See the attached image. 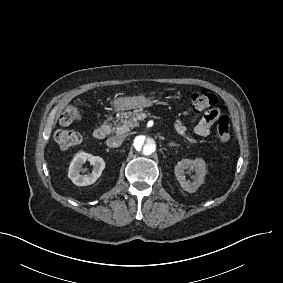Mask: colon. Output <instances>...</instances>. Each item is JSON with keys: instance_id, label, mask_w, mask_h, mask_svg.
I'll return each mask as SVG.
<instances>
[{"instance_id": "colon-1", "label": "colon", "mask_w": 283, "mask_h": 283, "mask_svg": "<svg viewBox=\"0 0 283 283\" xmlns=\"http://www.w3.org/2000/svg\"><path fill=\"white\" fill-rule=\"evenodd\" d=\"M192 109L195 112H203L215 107L220 112L215 121L214 139L217 142H225L230 136V118L224 108L217 107L219 101L217 96L205 89L196 90L191 95ZM82 109L76 104H69L64 108L60 115V121L63 124H71L82 118ZM56 141L59 147L71 149L76 147L81 141V134L76 130H58L56 132Z\"/></svg>"}]
</instances>
